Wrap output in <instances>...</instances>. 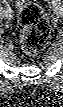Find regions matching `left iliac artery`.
I'll list each match as a JSON object with an SVG mask.
<instances>
[{
    "instance_id": "44dca946",
    "label": "left iliac artery",
    "mask_w": 63,
    "mask_h": 107,
    "mask_svg": "<svg viewBox=\"0 0 63 107\" xmlns=\"http://www.w3.org/2000/svg\"><path fill=\"white\" fill-rule=\"evenodd\" d=\"M58 1L60 2V0H54V1H53V4L59 3Z\"/></svg>"
}]
</instances>
